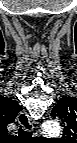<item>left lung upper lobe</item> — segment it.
<instances>
[{
    "instance_id": "left-lung-upper-lobe-1",
    "label": "left lung upper lobe",
    "mask_w": 77,
    "mask_h": 143,
    "mask_svg": "<svg viewBox=\"0 0 77 143\" xmlns=\"http://www.w3.org/2000/svg\"><path fill=\"white\" fill-rule=\"evenodd\" d=\"M51 115L59 117L64 124L63 136L67 139L76 137L77 134V99L63 97L53 108Z\"/></svg>"
}]
</instances>
